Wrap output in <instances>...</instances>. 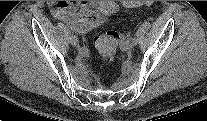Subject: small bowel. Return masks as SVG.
<instances>
[{
    "mask_svg": "<svg viewBox=\"0 0 207 121\" xmlns=\"http://www.w3.org/2000/svg\"><path fill=\"white\" fill-rule=\"evenodd\" d=\"M151 3L145 2L147 5ZM49 7L56 19L74 26L79 33H86L101 22L95 5L88 1H52ZM81 52L86 54L87 50Z\"/></svg>",
    "mask_w": 207,
    "mask_h": 121,
    "instance_id": "c3829d8e",
    "label": "small bowel"
}]
</instances>
